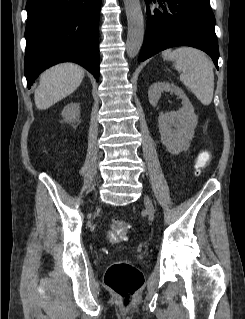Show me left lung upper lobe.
I'll list each match as a JSON object with an SVG mask.
<instances>
[{
  "label": "left lung upper lobe",
  "mask_w": 245,
  "mask_h": 319,
  "mask_svg": "<svg viewBox=\"0 0 245 319\" xmlns=\"http://www.w3.org/2000/svg\"><path fill=\"white\" fill-rule=\"evenodd\" d=\"M204 1L210 2V0H204Z\"/></svg>",
  "instance_id": "5c2ea615"
}]
</instances>
